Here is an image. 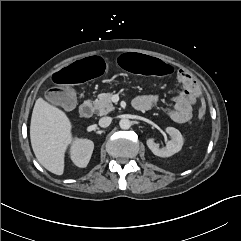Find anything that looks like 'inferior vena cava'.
Wrapping results in <instances>:
<instances>
[{"mask_svg":"<svg viewBox=\"0 0 241 241\" xmlns=\"http://www.w3.org/2000/svg\"><path fill=\"white\" fill-rule=\"evenodd\" d=\"M111 122H112V118L105 116V117L100 118L99 126L105 128V127H108L111 124Z\"/></svg>","mask_w":241,"mask_h":241,"instance_id":"602c4592","label":"inferior vena cava"}]
</instances>
